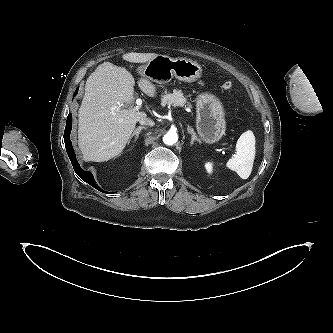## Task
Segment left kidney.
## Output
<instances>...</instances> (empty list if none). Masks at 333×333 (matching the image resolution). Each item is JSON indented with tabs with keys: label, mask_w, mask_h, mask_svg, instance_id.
<instances>
[{
	"label": "left kidney",
	"mask_w": 333,
	"mask_h": 333,
	"mask_svg": "<svg viewBox=\"0 0 333 333\" xmlns=\"http://www.w3.org/2000/svg\"><path fill=\"white\" fill-rule=\"evenodd\" d=\"M205 168L207 170L208 173H212L213 171V164L211 162H207L205 163Z\"/></svg>",
	"instance_id": "obj_1"
}]
</instances>
